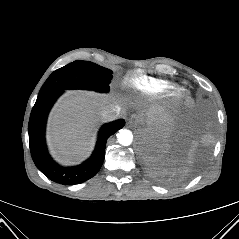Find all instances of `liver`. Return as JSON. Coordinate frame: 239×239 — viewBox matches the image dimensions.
Segmentation results:
<instances>
[{
    "label": "liver",
    "instance_id": "1",
    "mask_svg": "<svg viewBox=\"0 0 239 239\" xmlns=\"http://www.w3.org/2000/svg\"><path fill=\"white\" fill-rule=\"evenodd\" d=\"M113 106L121 109L120 101L112 94L78 90L60 97L48 119L47 142L53 157L65 165L87 157L103 121L101 112Z\"/></svg>",
    "mask_w": 239,
    "mask_h": 239
}]
</instances>
